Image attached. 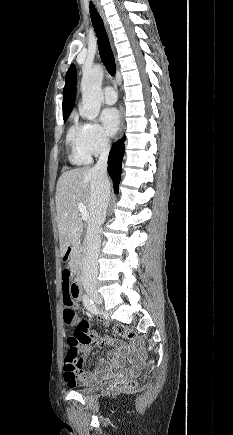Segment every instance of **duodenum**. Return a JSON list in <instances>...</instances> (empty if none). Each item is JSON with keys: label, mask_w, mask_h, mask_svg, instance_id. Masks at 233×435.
Returning a JSON list of instances; mask_svg holds the SVG:
<instances>
[{"label": "duodenum", "mask_w": 233, "mask_h": 435, "mask_svg": "<svg viewBox=\"0 0 233 435\" xmlns=\"http://www.w3.org/2000/svg\"><path fill=\"white\" fill-rule=\"evenodd\" d=\"M78 245H79V241L72 242V243L67 245V247L65 248V250L63 251V254H62V260L64 262H67L69 260L70 255L72 254V252L74 251V249ZM72 294L75 297V299H77V300L83 299L82 273L81 272L77 273V278L72 285Z\"/></svg>", "instance_id": "duodenum-1"}]
</instances>
